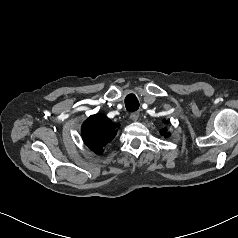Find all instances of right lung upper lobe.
Segmentation results:
<instances>
[{"instance_id": "right-lung-upper-lobe-1", "label": "right lung upper lobe", "mask_w": 238, "mask_h": 238, "mask_svg": "<svg viewBox=\"0 0 238 238\" xmlns=\"http://www.w3.org/2000/svg\"><path fill=\"white\" fill-rule=\"evenodd\" d=\"M118 126L102 114L91 115L81 127L84 143L95 153L101 154L103 147L115 137Z\"/></svg>"}]
</instances>
